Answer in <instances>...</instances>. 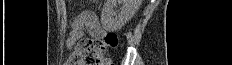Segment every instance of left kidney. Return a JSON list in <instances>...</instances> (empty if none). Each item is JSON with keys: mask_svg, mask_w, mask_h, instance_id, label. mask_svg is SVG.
<instances>
[{"mask_svg": "<svg viewBox=\"0 0 232 65\" xmlns=\"http://www.w3.org/2000/svg\"><path fill=\"white\" fill-rule=\"evenodd\" d=\"M122 4L121 11L113 10L115 4ZM140 0H106L101 13V23L107 31L121 29L136 13Z\"/></svg>", "mask_w": 232, "mask_h": 65, "instance_id": "left-kidney-1", "label": "left kidney"}]
</instances>
